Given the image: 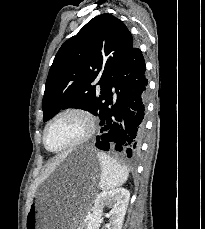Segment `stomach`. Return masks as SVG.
<instances>
[{
    "label": "stomach",
    "mask_w": 205,
    "mask_h": 229,
    "mask_svg": "<svg viewBox=\"0 0 205 229\" xmlns=\"http://www.w3.org/2000/svg\"><path fill=\"white\" fill-rule=\"evenodd\" d=\"M64 179L73 187L71 193L39 195L30 205L25 229H81L82 219L89 207L101 166L94 150L75 149L66 157Z\"/></svg>",
    "instance_id": "obj_1"
}]
</instances>
